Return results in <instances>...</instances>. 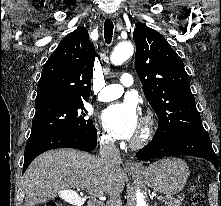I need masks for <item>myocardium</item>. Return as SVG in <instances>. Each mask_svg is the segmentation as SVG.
I'll return each mask as SVG.
<instances>
[{
	"mask_svg": "<svg viewBox=\"0 0 221 206\" xmlns=\"http://www.w3.org/2000/svg\"><path fill=\"white\" fill-rule=\"evenodd\" d=\"M155 132V121L151 115H146L142 119L141 130L138 136L132 140L131 146L139 148L144 146L153 136Z\"/></svg>",
	"mask_w": 221,
	"mask_h": 206,
	"instance_id": "f54148a6",
	"label": "myocardium"
}]
</instances>
